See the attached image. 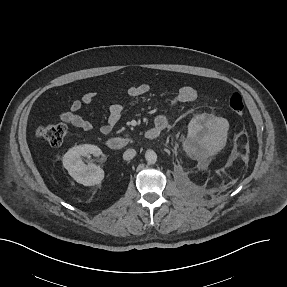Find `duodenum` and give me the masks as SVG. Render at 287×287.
I'll list each match as a JSON object with an SVG mask.
<instances>
[{
  "mask_svg": "<svg viewBox=\"0 0 287 287\" xmlns=\"http://www.w3.org/2000/svg\"><path fill=\"white\" fill-rule=\"evenodd\" d=\"M162 129L160 127H152L148 129L145 136L149 140H155L159 137ZM128 145V140L124 137H112L106 141V146L111 150H121Z\"/></svg>",
  "mask_w": 287,
  "mask_h": 287,
  "instance_id": "duodenum-1",
  "label": "duodenum"
}]
</instances>
